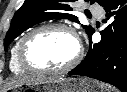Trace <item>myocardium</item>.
<instances>
[{"label": "myocardium", "instance_id": "f54148a6", "mask_svg": "<svg viewBox=\"0 0 127 92\" xmlns=\"http://www.w3.org/2000/svg\"><path fill=\"white\" fill-rule=\"evenodd\" d=\"M49 30H63V31L68 32L70 35H72L77 43V52L75 56L67 64H65L62 67L53 68V69L38 68V67L33 66L29 62L27 58V54H26L27 47L30 41L34 37L38 36L39 34L43 32L49 31ZM17 54H18V61L20 65L27 72L34 73V74H59V73H66L70 71L80 62L81 57H82V48L80 45L78 35L71 26L64 24V23H49V24L40 26L38 28H35L29 31L26 35H24L19 43Z\"/></svg>", "mask_w": 127, "mask_h": 92}]
</instances>
